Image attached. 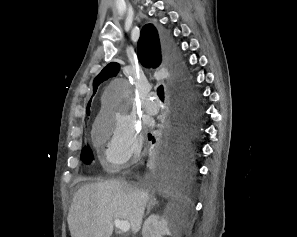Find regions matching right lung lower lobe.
I'll return each instance as SVG.
<instances>
[{"mask_svg":"<svg viewBox=\"0 0 297 237\" xmlns=\"http://www.w3.org/2000/svg\"><path fill=\"white\" fill-rule=\"evenodd\" d=\"M163 41L167 59L175 67L178 63L177 51L168 35H163ZM178 102L180 109L175 127L158 164L160 177L196 170L191 161V139L195 130V106L192 98L181 92L178 94ZM149 140L155 143V139L151 135H149Z\"/></svg>","mask_w":297,"mask_h":237,"instance_id":"1","label":"right lung lower lobe"}]
</instances>
